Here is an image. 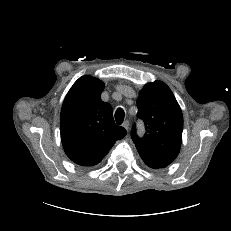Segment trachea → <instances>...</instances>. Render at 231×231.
I'll return each instance as SVG.
<instances>
[{
    "label": "trachea",
    "mask_w": 231,
    "mask_h": 231,
    "mask_svg": "<svg viewBox=\"0 0 231 231\" xmlns=\"http://www.w3.org/2000/svg\"><path fill=\"white\" fill-rule=\"evenodd\" d=\"M124 117H125V113H124V110L122 108H118L115 112V120H116V123L117 124H122L123 123V120H124Z\"/></svg>",
    "instance_id": "3493384b"
}]
</instances>
